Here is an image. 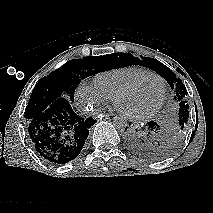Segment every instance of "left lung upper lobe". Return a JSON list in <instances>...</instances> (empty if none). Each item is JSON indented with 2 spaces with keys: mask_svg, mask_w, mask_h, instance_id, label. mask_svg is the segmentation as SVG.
Instances as JSON below:
<instances>
[{
  "mask_svg": "<svg viewBox=\"0 0 213 213\" xmlns=\"http://www.w3.org/2000/svg\"><path fill=\"white\" fill-rule=\"evenodd\" d=\"M118 56L123 59L122 66L137 64L154 70L162 76L175 91L173 101L178 106L177 118L171 127L164 130L157 145V158H164L173 153L179 147L188 123L189 105L185 100V96L187 95L185 85L182 83L180 78L176 77L175 73L156 59L149 57H142L139 59L137 57H133L130 53H122L118 54Z\"/></svg>",
  "mask_w": 213,
  "mask_h": 213,
  "instance_id": "5c2ea615",
  "label": "left lung upper lobe"
}]
</instances>
